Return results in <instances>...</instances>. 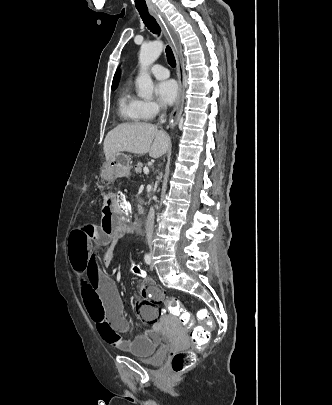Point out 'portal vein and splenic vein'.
Here are the masks:
<instances>
[{"label":"portal vein and splenic vein","mask_w":332,"mask_h":405,"mask_svg":"<svg viewBox=\"0 0 332 405\" xmlns=\"http://www.w3.org/2000/svg\"><path fill=\"white\" fill-rule=\"evenodd\" d=\"M143 171H144V173L147 175V174H149V169L147 168V167H145L144 169H143Z\"/></svg>","instance_id":"1"}]
</instances>
